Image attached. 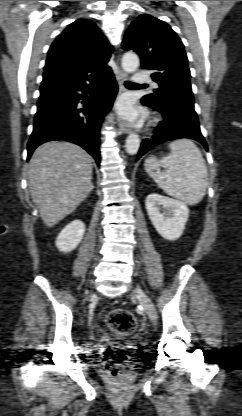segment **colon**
<instances>
[{
	"instance_id": "colon-1",
	"label": "colon",
	"mask_w": 242,
	"mask_h": 416,
	"mask_svg": "<svg viewBox=\"0 0 242 416\" xmlns=\"http://www.w3.org/2000/svg\"><path fill=\"white\" fill-rule=\"evenodd\" d=\"M107 326L116 335H128L136 328V319L134 315L126 309L112 310L106 317ZM109 356L113 359L114 364L109 367L110 373L115 376L119 373V367H125L127 364L117 350L111 349Z\"/></svg>"
}]
</instances>
